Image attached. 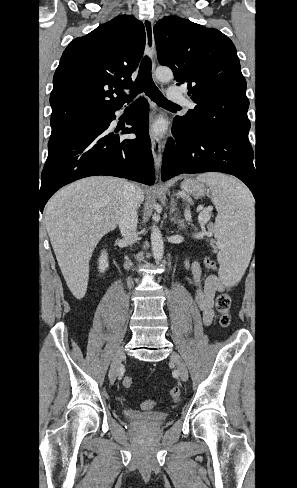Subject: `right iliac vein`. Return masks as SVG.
Masks as SVG:
<instances>
[{"label": "right iliac vein", "instance_id": "63e3f726", "mask_svg": "<svg viewBox=\"0 0 297 488\" xmlns=\"http://www.w3.org/2000/svg\"><path fill=\"white\" fill-rule=\"evenodd\" d=\"M124 358H125L124 348L120 347L116 351V353L112 359V362H111V366H110V370H109V380L111 382L115 381V379L117 378L119 370H120V366H121Z\"/></svg>", "mask_w": 297, "mask_h": 488}]
</instances>
